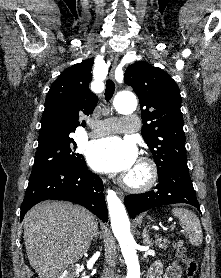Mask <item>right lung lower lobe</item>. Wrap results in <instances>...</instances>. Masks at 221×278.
Wrapping results in <instances>:
<instances>
[{
    "instance_id": "1",
    "label": "right lung lower lobe",
    "mask_w": 221,
    "mask_h": 278,
    "mask_svg": "<svg viewBox=\"0 0 221 278\" xmlns=\"http://www.w3.org/2000/svg\"><path fill=\"white\" fill-rule=\"evenodd\" d=\"M48 199L77 203L103 222L108 220L102 181L88 170L85 162L79 166L54 168L29 179L20 220L31 207Z\"/></svg>"
}]
</instances>
